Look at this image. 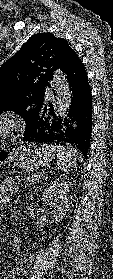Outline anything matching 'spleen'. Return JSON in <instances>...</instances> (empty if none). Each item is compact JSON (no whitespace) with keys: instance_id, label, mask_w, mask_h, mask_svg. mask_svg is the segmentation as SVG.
<instances>
[{"instance_id":"1","label":"spleen","mask_w":113,"mask_h":279,"mask_svg":"<svg viewBox=\"0 0 113 279\" xmlns=\"http://www.w3.org/2000/svg\"><path fill=\"white\" fill-rule=\"evenodd\" d=\"M42 147L49 151L56 159L57 168L63 172H67L76 166L78 153L72 146L48 145L43 144Z\"/></svg>"}]
</instances>
